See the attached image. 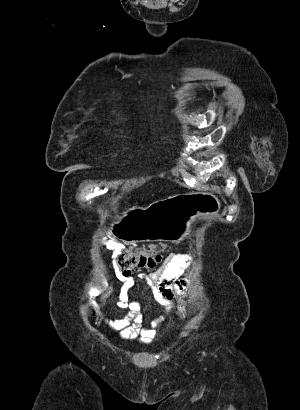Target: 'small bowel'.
I'll use <instances>...</instances> for the list:
<instances>
[{"label":"small bowel","instance_id":"small-bowel-1","mask_svg":"<svg viewBox=\"0 0 300 410\" xmlns=\"http://www.w3.org/2000/svg\"><path fill=\"white\" fill-rule=\"evenodd\" d=\"M193 261L194 256L191 253L169 254L163 265L150 274H142L137 278H133L116 272L117 279L123 284L117 306L120 309L128 310L129 316L118 319L104 318L106 327L119 331L121 340H137L144 345L150 344L159 335L164 317L161 316L152 321L148 327H143L142 311L144 303L129 301L128 290L135 285H142L168 311L173 310L176 314L181 315L185 312V301L183 300L175 305L173 300L176 295L184 297L187 294L189 279L184 276V273ZM98 291V286H92L89 295L93 297ZM89 314L95 318L101 317V312L95 302H90Z\"/></svg>","mask_w":300,"mask_h":410}]
</instances>
